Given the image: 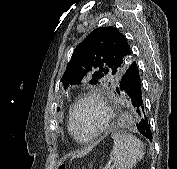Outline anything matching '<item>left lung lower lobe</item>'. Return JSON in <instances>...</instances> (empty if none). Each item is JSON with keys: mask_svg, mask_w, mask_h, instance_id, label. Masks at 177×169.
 I'll return each mask as SVG.
<instances>
[{"mask_svg": "<svg viewBox=\"0 0 177 169\" xmlns=\"http://www.w3.org/2000/svg\"><path fill=\"white\" fill-rule=\"evenodd\" d=\"M118 93L128 95L133 107L140 116V121L136 125L137 130L150 141L152 133L146 116L145 106L142 98L140 70L135 61H133L121 77L116 88Z\"/></svg>", "mask_w": 177, "mask_h": 169, "instance_id": "0a47b994", "label": "left lung lower lobe"}]
</instances>
